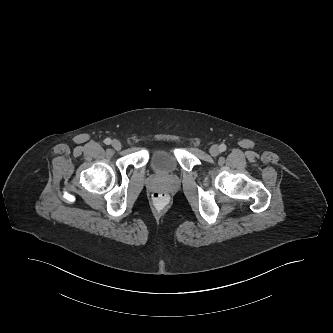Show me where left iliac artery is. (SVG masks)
<instances>
[{
	"mask_svg": "<svg viewBox=\"0 0 333 333\" xmlns=\"http://www.w3.org/2000/svg\"><path fill=\"white\" fill-rule=\"evenodd\" d=\"M226 150V145L225 144H221L220 145V151L224 152Z\"/></svg>",
	"mask_w": 333,
	"mask_h": 333,
	"instance_id": "obj_1",
	"label": "left iliac artery"
}]
</instances>
